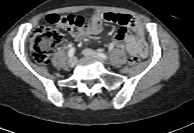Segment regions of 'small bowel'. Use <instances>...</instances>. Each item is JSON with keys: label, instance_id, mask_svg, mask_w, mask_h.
<instances>
[{"label": "small bowel", "instance_id": "obj_1", "mask_svg": "<svg viewBox=\"0 0 194 133\" xmlns=\"http://www.w3.org/2000/svg\"><path fill=\"white\" fill-rule=\"evenodd\" d=\"M104 22L121 25L108 45L110 50L115 47L124 48L130 56L147 57L148 44L145 26L139 18L132 15L97 11L91 16L89 22L73 36L80 40L87 36L97 35L102 31Z\"/></svg>", "mask_w": 194, "mask_h": 133}]
</instances>
